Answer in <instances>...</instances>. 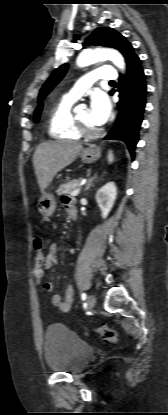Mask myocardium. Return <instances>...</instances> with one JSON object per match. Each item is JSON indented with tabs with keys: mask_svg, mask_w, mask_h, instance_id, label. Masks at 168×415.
<instances>
[{
	"mask_svg": "<svg viewBox=\"0 0 168 415\" xmlns=\"http://www.w3.org/2000/svg\"><path fill=\"white\" fill-rule=\"evenodd\" d=\"M74 121H75V125L77 130L79 131V133L85 137H97L101 134L102 130L101 129H92L90 127H88L79 117L77 114L74 115Z\"/></svg>",
	"mask_w": 168,
	"mask_h": 415,
	"instance_id": "f54148a6",
	"label": "myocardium"
}]
</instances>
